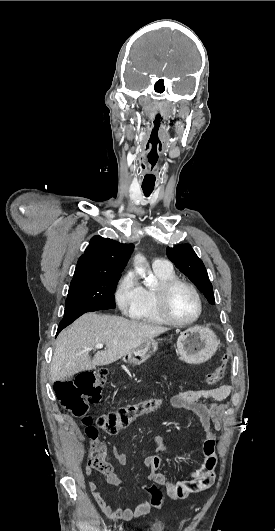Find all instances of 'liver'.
Listing matches in <instances>:
<instances>
[{
	"mask_svg": "<svg viewBox=\"0 0 275 531\" xmlns=\"http://www.w3.org/2000/svg\"><path fill=\"white\" fill-rule=\"evenodd\" d=\"M167 327L129 321L114 315L86 313L57 337L56 349L50 365L51 381L73 377L80 371H91L101 365H110L137 349L149 339L159 337ZM106 345L90 359L89 351L96 345Z\"/></svg>",
	"mask_w": 275,
	"mask_h": 531,
	"instance_id": "6515ba94",
	"label": "liver"
}]
</instances>
